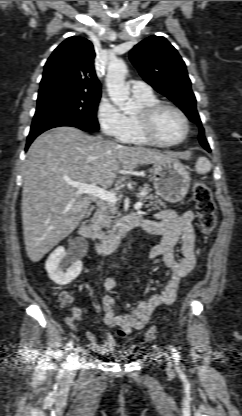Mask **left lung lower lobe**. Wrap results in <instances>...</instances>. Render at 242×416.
I'll list each match as a JSON object with an SVG mask.
<instances>
[{
  "label": "left lung lower lobe",
  "mask_w": 242,
  "mask_h": 416,
  "mask_svg": "<svg viewBox=\"0 0 242 416\" xmlns=\"http://www.w3.org/2000/svg\"><path fill=\"white\" fill-rule=\"evenodd\" d=\"M202 144V146L207 150V151H211L210 150V147H209V145H208V143H207V141H204L203 143H201Z\"/></svg>",
  "instance_id": "obj_1"
}]
</instances>
